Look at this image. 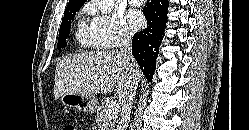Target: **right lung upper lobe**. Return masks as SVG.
Listing matches in <instances>:
<instances>
[{"label": "right lung upper lobe", "mask_w": 249, "mask_h": 130, "mask_svg": "<svg viewBox=\"0 0 249 130\" xmlns=\"http://www.w3.org/2000/svg\"><path fill=\"white\" fill-rule=\"evenodd\" d=\"M85 2L86 0H69L68 5L76 4V5L82 6Z\"/></svg>", "instance_id": "right-lung-upper-lobe-1"}]
</instances>
